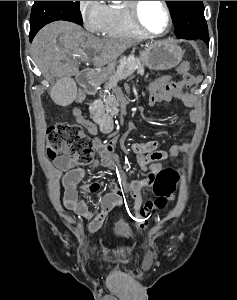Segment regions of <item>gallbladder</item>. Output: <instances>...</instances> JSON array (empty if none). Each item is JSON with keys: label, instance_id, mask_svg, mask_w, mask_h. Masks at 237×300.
Here are the masks:
<instances>
[{"label": "gallbladder", "instance_id": "gallbladder-1", "mask_svg": "<svg viewBox=\"0 0 237 300\" xmlns=\"http://www.w3.org/2000/svg\"><path fill=\"white\" fill-rule=\"evenodd\" d=\"M76 92L74 76H59L58 83L51 90V97L55 105H73Z\"/></svg>", "mask_w": 237, "mask_h": 300}]
</instances>
